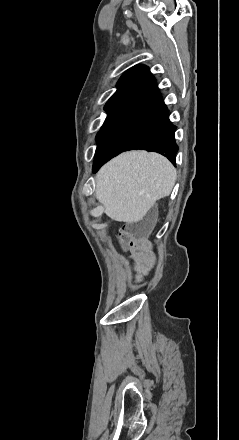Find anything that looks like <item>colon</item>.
<instances>
[{
	"mask_svg": "<svg viewBox=\"0 0 239 440\" xmlns=\"http://www.w3.org/2000/svg\"><path fill=\"white\" fill-rule=\"evenodd\" d=\"M140 232L134 226H128L121 234V241L129 247H137L142 245Z\"/></svg>",
	"mask_w": 239,
	"mask_h": 440,
	"instance_id": "5ec220e1",
	"label": "colon"
}]
</instances>
